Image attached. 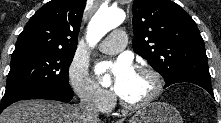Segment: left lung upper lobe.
I'll return each instance as SVG.
<instances>
[{"label": "left lung upper lobe", "mask_w": 221, "mask_h": 123, "mask_svg": "<svg viewBox=\"0 0 221 123\" xmlns=\"http://www.w3.org/2000/svg\"><path fill=\"white\" fill-rule=\"evenodd\" d=\"M133 50L165 82L197 75L211 78L204 41L194 20L170 0H134Z\"/></svg>", "instance_id": "5c2ea615"}]
</instances>
